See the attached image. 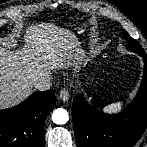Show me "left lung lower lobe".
<instances>
[{
    "instance_id": "1",
    "label": "left lung lower lobe",
    "mask_w": 147,
    "mask_h": 147,
    "mask_svg": "<svg viewBox=\"0 0 147 147\" xmlns=\"http://www.w3.org/2000/svg\"><path fill=\"white\" fill-rule=\"evenodd\" d=\"M138 93L119 114L107 115L88 104L82 94L72 104L74 134L78 147H131L147 124V55Z\"/></svg>"
}]
</instances>
